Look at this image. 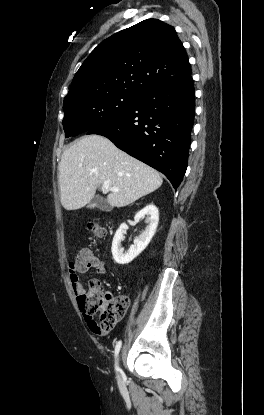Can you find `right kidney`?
Instances as JSON below:
<instances>
[{"mask_svg": "<svg viewBox=\"0 0 264 415\" xmlns=\"http://www.w3.org/2000/svg\"><path fill=\"white\" fill-rule=\"evenodd\" d=\"M145 218L148 223L146 229L134 240V244L130 246L128 251H124L120 243L123 239L124 230L128 229L125 223H122L116 231L113 242H112V255L113 259L118 264H128L134 260L150 243L152 240L156 228L159 222V211L158 208L149 204L140 210L134 217L135 221Z\"/></svg>", "mask_w": 264, "mask_h": 415, "instance_id": "right-kidney-1", "label": "right kidney"}]
</instances>
